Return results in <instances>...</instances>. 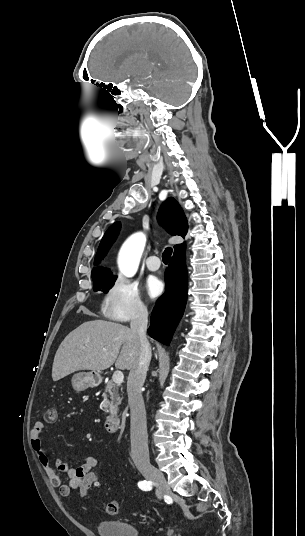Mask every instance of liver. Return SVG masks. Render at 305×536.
<instances>
[{"label":"liver","mask_w":305,"mask_h":536,"mask_svg":"<svg viewBox=\"0 0 305 536\" xmlns=\"http://www.w3.org/2000/svg\"><path fill=\"white\" fill-rule=\"evenodd\" d=\"M139 356L140 344L127 326L105 320L84 322L60 344L52 366L53 382L79 370H107L113 364L118 370H132Z\"/></svg>","instance_id":"obj_1"}]
</instances>
